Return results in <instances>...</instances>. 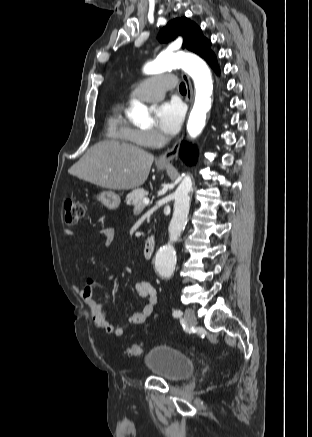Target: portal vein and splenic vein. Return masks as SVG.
Wrapping results in <instances>:
<instances>
[{
  "mask_svg": "<svg viewBox=\"0 0 312 437\" xmlns=\"http://www.w3.org/2000/svg\"><path fill=\"white\" fill-rule=\"evenodd\" d=\"M149 204V198H144L143 199V206ZM141 209H143V207L141 205L137 206L134 208L135 211H140Z\"/></svg>",
  "mask_w": 312,
  "mask_h": 437,
  "instance_id": "1",
  "label": "portal vein and splenic vein"
}]
</instances>
